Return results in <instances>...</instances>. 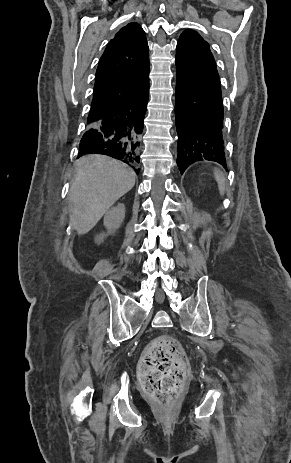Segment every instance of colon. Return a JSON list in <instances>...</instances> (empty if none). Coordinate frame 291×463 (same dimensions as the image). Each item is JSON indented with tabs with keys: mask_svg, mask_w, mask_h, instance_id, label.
<instances>
[{
	"mask_svg": "<svg viewBox=\"0 0 291 463\" xmlns=\"http://www.w3.org/2000/svg\"><path fill=\"white\" fill-rule=\"evenodd\" d=\"M139 374L143 390L149 397L159 404L170 403L188 375L181 346L170 337L157 338L145 349Z\"/></svg>",
	"mask_w": 291,
	"mask_h": 463,
	"instance_id": "1",
	"label": "colon"
}]
</instances>
